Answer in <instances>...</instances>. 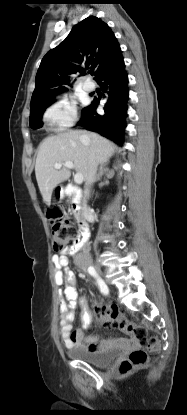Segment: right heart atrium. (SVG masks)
Here are the masks:
<instances>
[{"instance_id": "obj_1", "label": "right heart atrium", "mask_w": 187, "mask_h": 415, "mask_svg": "<svg viewBox=\"0 0 187 415\" xmlns=\"http://www.w3.org/2000/svg\"><path fill=\"white\" fill-rule=\"evenodd\" d=\"M42 120L53 131H64L72 127L77 120L75 106L61 100L50 105L43 113Z\"/></svg>"}]
</instances>
